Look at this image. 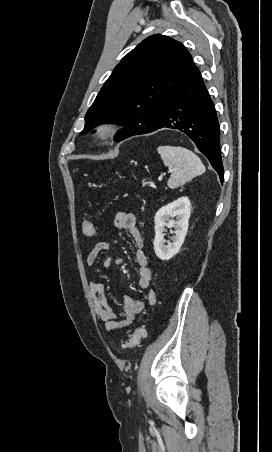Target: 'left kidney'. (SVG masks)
<instances>
[{"instance_id":"obj_1","label":"left kidney","mask_w":272,"mask_h":452,"mask_svg":"<svg viewBox=\"0 0 272 452\" xmlns=\"http://www.w3.org/2000/svg\"><path fill=\"white\" fill-rule=\"evenodd\" d=\"M190 214L191 203L188 197H181L157 211L154 217L155 238L153 244L155 254L159 259L169 260L179 252L187 234ZM174 217L176 220H173ZM166 227L175 228L174 231H171L174 234L172 243H168V245H165L164 242Z\"/></svg>"}]
</instances>
